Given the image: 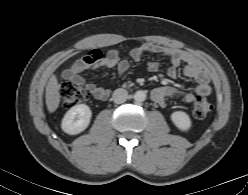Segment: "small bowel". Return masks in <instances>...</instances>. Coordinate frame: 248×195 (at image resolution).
<instances>
[{
    "label": "small bowel",
    "mask_w": 248,
    "mask_h": 195,
    "mask_svg": "<svg viewBox=\"0 0 248 195\" xmlns=\"http://www.w3.org/2000/svg\"><path fill=\"white\" fill-rule=\"evenodd\" d=\"M147 53L161 54L169 58L167 75L171 78L176 77L179 66L183 65V74L196 82V95L208 96L211 93L209 71L192 55L159 44L144 43L132 49L130 57L139 61ZM129 67V61L121 59L116 50H110L106 54L93 50L64 70L63 77L76 84L85 85L94 98L104 100L109 96V89L94 83L86 84L82 73L100 68L115 69L118 73H124ZM147 69L149 72H156L159 69V64L156 61H150L147 64ZM177 96L181 97L186 104H191L195 99L192 92L183 91L171 85L159 86L152 91L153 100L160 105H164L167 98Z\"/></svg>",
    "instance_id": "small-bowel-1"
}]
</instances>
